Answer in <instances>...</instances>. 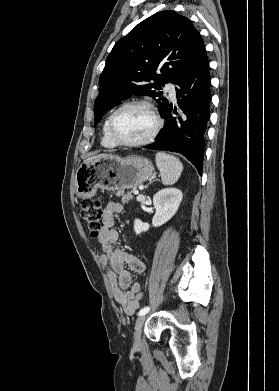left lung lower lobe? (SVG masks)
<instances>
[{
  "instance_id": "0a47b994",
  "label": "left lung lower lobe",
  "mask_w": 279,
  "mask_h": 391,
  "mask_svg": "<svg viewBox=\"0 0 279 391\" xmlns=\"http://www.w3.org/2000/svg\"><path fill=\"white\" fill-rule=\"evenodd\" d=\"M209 61L205 47L183 77L176 83L179 111L172 105L161 116L165 119L162 130L149 149L167 150L183 154L201 174L205 149V132L210 117L211 102Z\"/></svg>"
}]
</instances>
